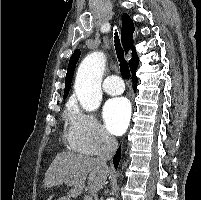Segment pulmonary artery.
Wrapping results in <instances>:
<instances>
[{
	"label": "pulmonary artery",
	"instance_id": "e3ab8cb5",
	"mask_svg": "<svg viewBox=\"0 0 201 200\" xmlns=\"http://www.w3.org/2000/svg\"><path fill=\"white\" fill-rule=\"evenodd\" d=\"M103 89L110 95H118L123 93L124 84L122 79L117 75H109L103 83Z\"/></svg>",
	"mask_w": 201,
	"mask_h": 200
}]
</instances>
